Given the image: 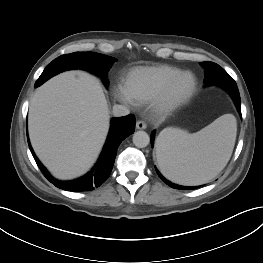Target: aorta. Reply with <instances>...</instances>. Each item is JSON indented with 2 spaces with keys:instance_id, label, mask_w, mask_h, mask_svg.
Wrapping results in <instances>:
<instances>
[{
  "instance_id": "obj_1",
  "label": "aorta",
  "mask_w": 263,
  "mask_h": 263,
  "mask_svg": "<svg viewBox=\"0 0 263 263\" xmlns=\"http://www.w3.org/2000/svg\"><path fill=\"white\" fill-rule=\"evenodd\" d=\"M150 142L149 135L145 131H137L133 134V143L138 148L148 146Z\"/></svg>"
}]
</instances>
